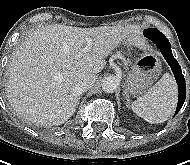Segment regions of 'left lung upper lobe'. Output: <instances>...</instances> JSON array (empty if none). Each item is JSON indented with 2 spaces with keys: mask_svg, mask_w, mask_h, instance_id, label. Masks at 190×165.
Here are the masks:
<instances>
[{
  "mask_svg": "<svg viewBox=\"0 0 190 165\" xmlns=\"http://www.w3.org/2000/svg\"><path fill=\"white\" fill-rule=\"evenodd\" d=\"M160 33L161 32H159L156 28H149L144 30V36H146L147 38Z\"/></svg>",
  "mask_w": 190,
  "mask_h": 165,
  "instance_id": "1",
  "label": "left lung upper lobe"
}]
</instances>
